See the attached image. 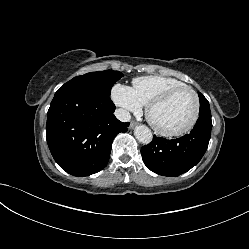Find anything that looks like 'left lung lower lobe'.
Instances as JSON below:
<instances>
[{"label":"left lung lower lobe","mask_w":249,"mask_h":249,"mask_svg":"<svg viewBox=\"0 0 249 249\" xmlns=\"http://www.w3.org/2000/svg\"><path fill=\"white\" fill-rule=\"evenodd\" d=\"M211 115H201L189 134L167 140L153 137L141 148L143 162L151 171L163 176H178L195 166L207 150L211 136Z\"/></svg>","instance_id":"0a47b994"}]
</instances>
